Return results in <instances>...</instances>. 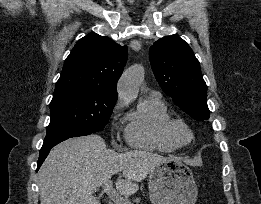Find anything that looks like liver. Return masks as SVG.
Returning a JSON list of instances; mask_svg holds the SVG:
<instances>
[{
	"label": "liver",
	"instance_id": "6515ba94",
	"mask_svg": "<svg viewBox=\"0 0 261 204\" xmlns=\"http://www.w3.org/2000/svg\"><path fill=\"white\" fill-rule=\"evenodd\" d=\"M170 159L147 151L118 153L99 135L70 138L54 147L39 170L41 204H100L93 192L122 171L116 189L132 195L138 182Z\"/></svg>",
	"mask_w": 261,
	"mask_h": 204
}]
</instances>
